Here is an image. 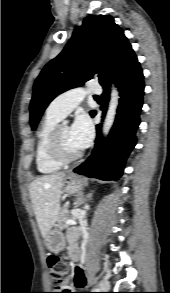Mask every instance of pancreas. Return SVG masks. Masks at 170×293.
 Segmentation results:
<instances>
[{"instance_id": "pancreas-1", "label": "pancreas", "mask_w": 170, "mask_h": 293, "mask_svg": "<svg viewBox=\"0 0 170 293\" xmlns=\"http://www.w3.org/2000/svg\"><path fill=\"white\" fill-rule=\"evenodd\" d=\"M70 218L72 217L69 215L67 208H62L57 217V228L60 230L68 229L69 226L65 223V221Z\"/></svg>"}]
</instances>
